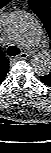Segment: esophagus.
Listing matches in <instances>:
<instances>
[{"label": "esophagus", "instance_id": "1", "mask_svg": "<svg viewBox=\"0 0 51 153\" xmlns=\"http://www.w3.org/2000/svg\"><path fill=\"white\" fill-rule=\"evenodd\" d=\"M27 57H29V54L25 51L18 56L19 59H26Z\"/></svg>", "mask_w": 51, "mask_h": 153}]
</instances>
